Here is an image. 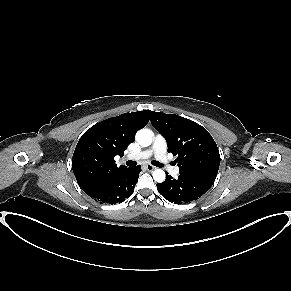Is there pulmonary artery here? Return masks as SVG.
<instances>
[{"label": "pulmonary artery", "instance_id": "pulmonary-artery-1", "mask_svg": "<svg viewBox=\"0 0 291 291\" xmlns=\"http://www.w3.org/2000/svg\"><path fill=\"white\" fill-rule=\"evenodd\" d=\"M167 143L163 136L157 135L151 148L140 152L135 156V159H147L154 155L157 161H159L163 167H165L173 177L179 175V167L173 166L166 155Z\"/></svg>", "mask_w": 291, "mask_h": 291}]
</instances>
